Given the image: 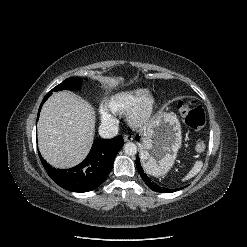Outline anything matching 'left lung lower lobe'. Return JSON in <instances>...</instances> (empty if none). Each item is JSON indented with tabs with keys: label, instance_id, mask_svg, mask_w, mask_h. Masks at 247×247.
Listing matches in <instances>:
<instances>
[{
	"label": "left lung lower lobe",
	"instance_id": "0a47b994",
	"mask_svg": "<svg viewBox=\"0 0 247 247\" xmlns=\"http://www.w3.org/2000/svg\"><path fill=\"white\" fill-rule=\"evenodd\" d=\"M136 166H137L138 172L141 175L142 179L144 180V182L147 184V186L151 190L156 191V192H160V193H170V192H174V191L182 189V188L168 189V188H162V187L156 185L154 182L151 181V179L147 176V174L142 169L139 157L136 158Z\"/></svg>",
	"mask_w": 247,
	"mask_h": 247
}]
</instances>
